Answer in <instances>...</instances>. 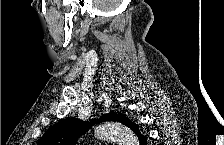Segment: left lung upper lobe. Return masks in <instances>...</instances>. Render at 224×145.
Returning <instances> with one entry per match:
<instances>
[{
  "instance_id": "1",
  "label": "left lung upper lobe",
  "mask_w": 224,
  "mask_h": 145,
  "mask_svg": "<svg viewBox=\"0 0 224 145\" xmlns=\"http://www.w3.org/2000/svg\"><path fill=\"white\" fill-rule=\"evenodd\" d=\"M99 120H113L130 127L132 121L123 114H106ZM93 122H83L77 118H67L51 127L39 140L38 145H75L81 134L93 126Z\"/></svg>"
}]
</instances>
